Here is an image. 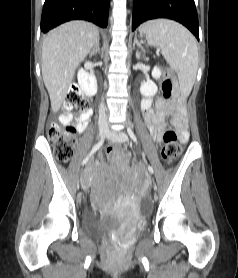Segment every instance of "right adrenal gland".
Wrapping results in <instances>:
<instances>
[{
    "mask_svg": "<svg viewBox=\"0 0 238 278\" xmlns=\"http://www.w3.org/2000/svg\"><path fill=\"white\" fill-rule=\"evenodd\" d=\"M99 40L100 38H98L97 42L95 43V45L93 46V49L91 51V55L98 53L100 51V44H99Z\"/></svg>",
    "mask_w": 238,
    "mask_h": 278,
    "instance_id": "2a0ac1e0",
    "label": "right adrenal gland"
}]
</instances>
